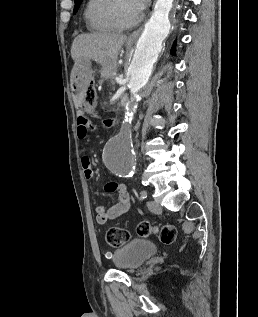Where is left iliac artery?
Returning a JSON list of instances; mask_svg holds the SVG:
<instances>
[{
  "instance_id": "44dca946",
  "label": "left iliac artery",
  "mask_w": 258,
  "mask_h": 317,
  "mask_svg": "<svg viewBox=\"0 0 258 317\" xmlns=\"http://www.w3.org/2000/svg\"><path fill=\"white\" fill-rule=\"evenodd\" d=\"M147 195H148V193H147L146 190H142V191H141V198H142V199H146V198H147Z\"/></svg>"
}]
</instances>
